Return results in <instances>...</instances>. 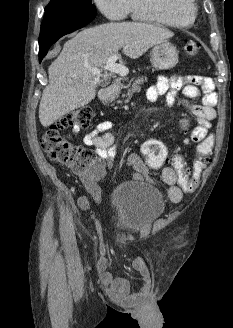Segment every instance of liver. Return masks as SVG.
Masks as SVG:
<instances>
[{
  "mask_svg": "<svg viewBox=\"0 0 233 328\" xmlns=\"http://www.w3.org/2000/svg\"><path fill=\"white\" fill-rule=\"evenodd\" d=\"M173 36L167 28L141 22H110L75 34L49 66V84L39 106L41 124L47 127L94 99L100 75L88 66L103 67L121 48L126 56L137 59Z\"/></svg>",
  "mask_w": 233,
  "mask_h": 328,
  "instance_id": "1",
  "label": "liver"
}]
</instances>
